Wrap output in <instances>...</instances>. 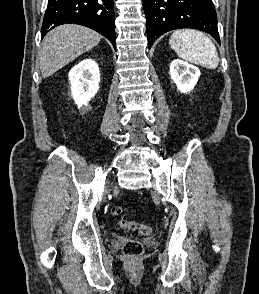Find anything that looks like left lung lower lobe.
I'll return each mask as SVG.
<instances>
[{
	"label": "left lung lower lobe",
	"mask_w": 259,
	"mask_h": 294,
	"mask_svg": "<svg viewBox=\"0 0 259 294\" xmlns=\"http://www.w3.org/2000/svg\"><path fill=\"white\" fill-rule=\"evenodd\" d=\"M149 49L162 34L180 28L209 33L220 43L212 0H144Z\"/></svg>",
	"instance_id": "1"
}]
</instances>
